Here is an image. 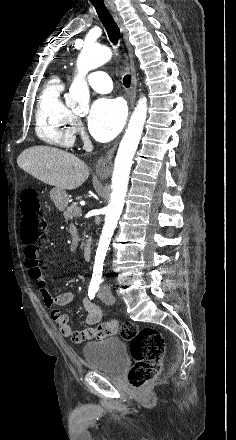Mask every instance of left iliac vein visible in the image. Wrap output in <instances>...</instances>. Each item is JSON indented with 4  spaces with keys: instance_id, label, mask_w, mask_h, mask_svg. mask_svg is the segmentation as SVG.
Returning a JSON list of instances; mask_svg holds the SVG:
<instances>
[{
    "instance_id": "left-iliac-vein-1",
    "label": "left iliac vein",
    "mask_w": 236,
    "mask_h": 440,
    "mask_svg": "<svg viewBox=\"0 0 236 440\" xmlns=\"http://www.w3.org/2000/svg\"><path fill=\"white\" fill-rule=\"evenodd\" d=\"M99 297L107 305H112L115 303V298L110 292L99 293Z\"/></svg>"
}]
</instances>
